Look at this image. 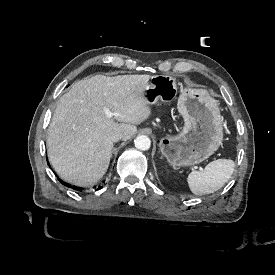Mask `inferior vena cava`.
<instances>
[{
	"label": "inferior vena cava",
	"mask_w": 275,
	"mask_h": 275,
	"mask_svg": "<svg viewBox=\"0 0 275 275\" xmlns=\"http://www.w3.org/2000/svg\"><path fill=\"white\" fill-rule=\"evenodd\" d=\"M123 137V134L119 131H116L112 134L111 136V140L112 142H118L119 140H121Z\"/></svg>",
	"instance_id": "inferior-vena-cava-1"
}]
</instances>
